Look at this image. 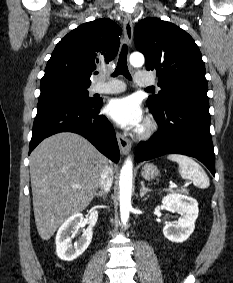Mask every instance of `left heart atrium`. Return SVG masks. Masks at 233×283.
I'll list each match as a JSON object with an SVG mask.
<instances>
[{
  "mask_svg": "<svg viewBox=\"0 0 233 283\" xmlns=\"http://www.w3.org/2000/svg\"><path fill=\"white\" fill-rule=\"evenodd\" d=\"M106 113L121 127L138 128L142 122V110L133 96L112 99L106 107Z\"/></svg>",
  "mask_w": 233,
  "mask_h": 283,
  "instance_id": "obj_1",
  "label": "left heart atrium"
}]
</instances>
